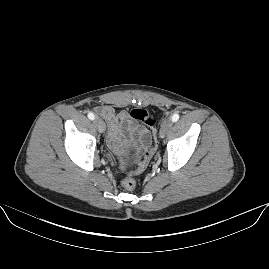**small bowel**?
<instances>
[{
  "label": "small bowel",
  "mask_w": 269,
  "mask_h": 269,
  "mask_svg": "<svg viewBox=\"0 0 269 269\" xmlns=\"http://www.w3.org/2000/svg\"><path fill=\"white\" fill-rule=\"evenodd\" d=\"M95 111L108 122L107 146L115 155H121L122 146L128 137L136 139L138 154L144 151L149 131L131 120L126 110L115 112L112 106L101 105L97 106Z\"/></svg>",
  "instance_id": "1"
}]
</instances>
